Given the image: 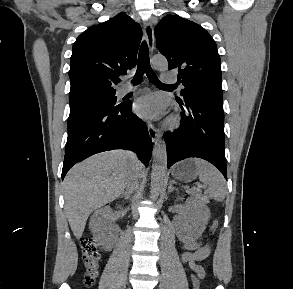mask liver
I'll return each instance as SVG.
<instances>
[{"label": "liver", "mask_w": 293, "mask_h": 289, "mask_svg": "<svg viewBox=\"0 0 293 289\" xmlns=\"http://www.w3.org/2000/svg\"><path fill=\"white\" fill-rule=\"evenodd\" d=\"M131 171L142 175L143 166L123 150L96 154L71 168L63 183L64 199L69 225L77 239L89 215L124 192Z\"/></svg>", "instance_id": "obj_1"}]
</instances>
